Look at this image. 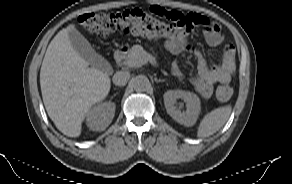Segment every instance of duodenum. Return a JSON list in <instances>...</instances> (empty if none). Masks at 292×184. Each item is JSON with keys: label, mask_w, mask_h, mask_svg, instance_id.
Instances as JSON below:
<instances>
[{"label": "duodenum", "mask_w": 292, "mask_h": 184, "mask_svg": "<svg viewBox=\"0 0 292 184\" xmlns=\"http://www.w3.org/2000/svg\"><path fill=\"white\" fill-rule=\"evenodd\" d=\"M126 53H127V48L125 47L117 49L114 52V60L117 63H122V61L125 59Z\"/></svg>", "instance_id": "1"}]
</instances>
